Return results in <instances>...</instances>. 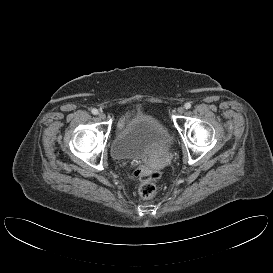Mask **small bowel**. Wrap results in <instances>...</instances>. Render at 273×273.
<instances>
[{"instance_id": "1", "label": "small bowel", "mask_w": 273, "mask_h": 273, "mask_svg": "<svg viewBox=\"0 0 273 273\" xmlns=\"http://www.w3.org/2000/svg\"><path fill=\"white\" fill-rule=\"evenodd\" d=\"M125 123V118H122L119 122V127H121L122 125H124Z\"/></svg>"}]
</instances>
